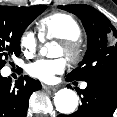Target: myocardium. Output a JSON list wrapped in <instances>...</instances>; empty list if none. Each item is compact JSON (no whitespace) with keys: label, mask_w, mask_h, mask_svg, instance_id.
Segmentation results:
<instances>
[{"label":"myocardium","mask_w":117,"mask_h":117,"mask_svg":"<svg viewBox=\"0 0 117 117\" xmlns=\"http://www.w3.org/2000/svg\"><path fill=\"white\" fill-rule=\"evenodd\" d=\"M60 45L63 48L64 55L71 63H78L82 59L83 49L78 39H62Z\"/></svg>","instance_id":"1"}]
</instances>
